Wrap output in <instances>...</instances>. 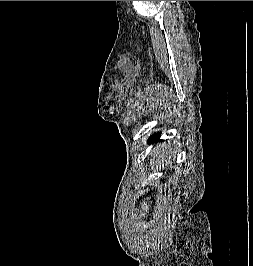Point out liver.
Segmentation results:
<instances>
[{"mask_svg": "<svg viewBox=\"0 0 253 266\" xmlns=\"http://www.w3.org/2000/svg\"><path fill=\"white\" fill-rule=\"evenodd\" d=\"M155 155H156V158L163 160L168 155L166 145L163 144L160 147H157L155 150ZM147 209H148V207H146V211H147Z\"/></svg>", "mask_w": 253, "mask_h": 266, "instance_id": "1", "label": "liver"}]
</instances>
